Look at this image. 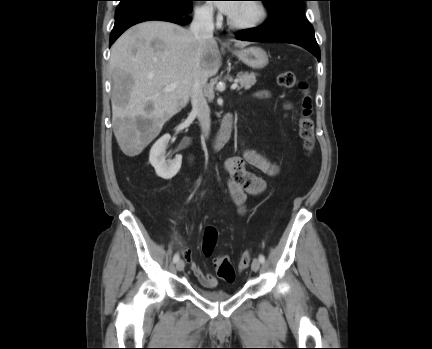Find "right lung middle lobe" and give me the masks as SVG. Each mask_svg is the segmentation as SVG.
Masks as SVG:
<instances>
[{
  "mask_svg": "<svg viewBox=\"0 0 432 349\" xmlns=\"http://www.w3.org/2000/svg\"><path fill=\"white\" fill-rule=\"evenodd\" d=\"M119 8L135 4L138 2H145V1H153V2H161L165 4H169L173 7L183 8L191 5L192 1L194 0H119Z\"/></svg>",
  "mask_w": 432,
  "mask_h": 349,
  "instance_id": "obj_1",
  "label": "right lung middle lobe"
}]
</instances>
